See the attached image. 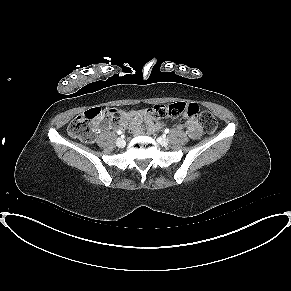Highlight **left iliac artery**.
<instances>
[{
	"label": "left iliac artery",
	"instance_id": "44dca946",
	"mask_svg": "<svg viewBox=\"0 0 291 291\" xmlns=\"http://www.w3.org/2000/svg\"><path fill=\"white\" fill-rule=\"evenodd\" d=\"M164 132L167 134L169 133V129H165Z\"/></svg>",
	"mask_w": 291,
	"mask_h": 291
}]
</instances>
